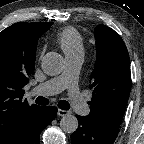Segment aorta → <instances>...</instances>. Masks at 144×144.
I'll list each match as a JSON object with an SVG mask.
<instances>
[{
  "label": "aorta",
  "mask_w": 144,
  "mask_h": 144,
  "mask_svg": "<svg viewBox=\"0 0 144 144\" xmlns=\"http://www.w3.org/2000/svg\"><path fill=\"white\" fill-rule=\"evenodd\" d=\"M42 69L47 75H58L62 72L64 61L56 52L47 53L42 59ZM61 129L66 133H73L78 128V120L74 115L66 114L60 121Z\"/></svg>",
  "instance_id": "1"
}]
</instances>
